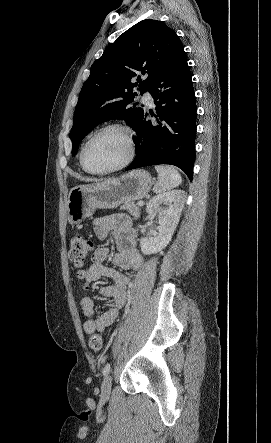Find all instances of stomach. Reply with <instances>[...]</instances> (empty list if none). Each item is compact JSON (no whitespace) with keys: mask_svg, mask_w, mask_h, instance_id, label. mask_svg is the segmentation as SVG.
Masks as SVG:
<instances>
[{"mask_svg":"<svg viewBox=\"0 0 271 443\" xmlns=\"http://www.w3.org/2000/svg\"><path fill=\"white\" fill-rule=\"evenodd\" d=\"M153 180L149 172L134 170L120 178H113L92 186H75L67 198L68 222L79 225L93 216L97 208H118L125 202L142 200L148 194Z\"/></svg>","mask_w":271,"mask_h":443,"instance_id":"stomach-1","label":"stomach"}]
</instances>
